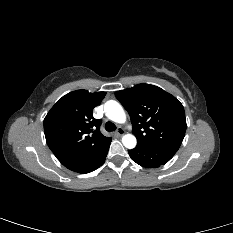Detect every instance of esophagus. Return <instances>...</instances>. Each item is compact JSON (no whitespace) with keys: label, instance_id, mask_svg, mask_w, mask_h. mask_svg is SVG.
Returning <instances> with one entry per match:
<instances>
[{"label":"esophagus","instance_id":"obj_1","mask_svg":"<svg viewBox=\"0 0 233 233\" xmlns=\"http://www.w3.org/2000/svg\"><path fill=\"white\" fill-rule=\"evenodd\" d=\"M124 133H125V131H124V129L121 128V127H119V128L116 130V134H117L118 136H122V135H124Z\"/></svg>","mask_w":233,"mask_h":233}]
</instances>
